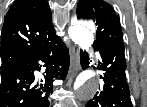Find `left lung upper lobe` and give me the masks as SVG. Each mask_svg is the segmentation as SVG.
<instances>
[{
  "instance_id": "left-lung-upper-lobe-1",
  "label": "left lung upper lobe",
  "mask_w": 147,
  "mask_h": 107,
  "mask_svg": "<svg viewBox=\"0 0 147 107\" xmlns=\"http://www.w3.org/2000/svg\"><path fill=\"white\" fill-rule=\"evenodd\" d=\"M77 16L92 19L97 25L96 40L93 47L103 49L115 43H123L119 17L114 9L103 0H80L77 4Z\"/></svg>"
}]
</instances>
